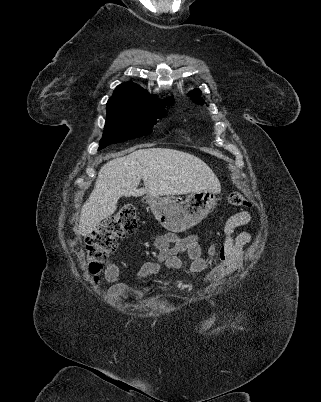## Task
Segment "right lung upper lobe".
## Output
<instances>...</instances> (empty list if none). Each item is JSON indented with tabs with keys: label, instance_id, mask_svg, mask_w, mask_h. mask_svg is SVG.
<instances>
[{
	"label": "right lung upper lobe",
	"instance_id": "obj_1",
	"mask_svg": "<svg viewBox=\"0 0 321 402\" xmlns=\"http://www.w3.org/2000/svg\"><path fill=\"white\" fill-rule=\"evenodd\" d=\"M108 102L149 108H161V106L172 104L173 98L170 97L164 100L158 99L156 96L150 95L137 84L127 82L116 87Z\"/></svg>",
	"mask_w": 321,
	"mask_h": 402
}]
</instances>
